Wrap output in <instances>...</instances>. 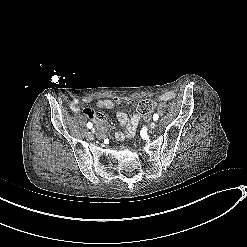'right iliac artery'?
I'll list each match as a JSON object with an SVG mask.
<instances>
[{"label":"right iliac artery","instance_id":"right-iliac-artery-1","mask_svg":"<svg viewBox=\"0 0 247 247\" xmlns=\"http://www.w3.org/2000/svg\"><path fill=\"white\" fill-rule=\"evenodd\" d=\"M87 127H88V128H92V127H93V124H92L91 122H88V123H87Z\"/></svg>","mask_w":247,"mask_h":247}]
</instances>
